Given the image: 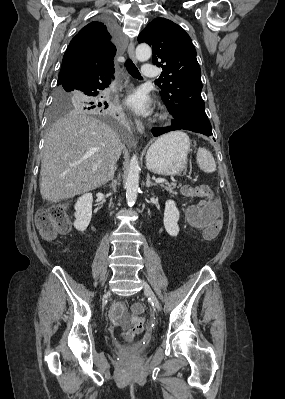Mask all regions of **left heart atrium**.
Returning <instances> with one entry per match:
<instances>
[{"label":"left heart atrium","mask_w":285,"mask_h":399,"mask_svg":"<svg viewBox=\"0 0 285 399\" xmlns=\"http://www.w3.org/2000/svg\"><path fill=\"white\" fill-rule=\"evenodd\" d=\"M126 104L139 115H148L151 112V101L142 90H135L126 99Z\"/></svg>","instance_id":"1"}]
</instances>
